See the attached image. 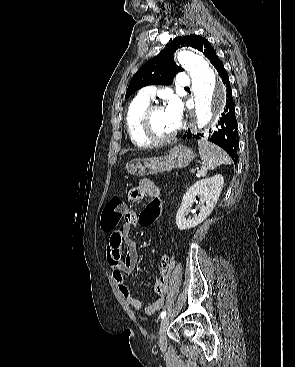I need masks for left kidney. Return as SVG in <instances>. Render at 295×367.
Wrapping results in <instances>:
<instances>
[{
    "label": "left kidney",
    "instance_id": "obj_1",
    "mask_svg": "<svg viewBox=\"0 0 295 367\" xmlns=\"http://www.w3.org/2000/svg\"><path fill=\"white\" fill-rule=\"evenodd\" d=\"M224 184V178L218 174L194 183L185 193L182 204L176 214V225L180 230H188L202 223L214 209ZM199 197L198 208L200 210L195 217L186 218L188 208L195 198Z\"/></svg>",
    "mask_w": 295,
    "mask_h": 367
}]
</instances>
